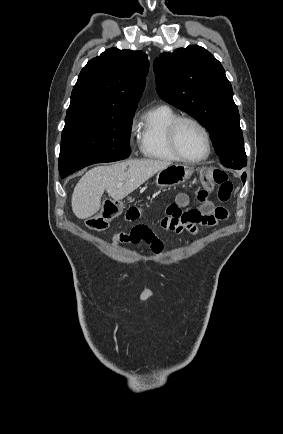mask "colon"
Wrapping results in <instances>:
<instances>
[{
  "label": "colon",
  "mask_w": 283,
  "mask_h": 434,
  "mask_svg": "<svg viewBox=\"0 0 283 434\" xmlns=\"http://www.w3.org/2000/svg\"><path fill=\"white\" fill-rule=\"evenodd\" d=\"M202 182L205 188L217 187V196L221 202H227L232 194L233 185L227 173L219 168H206L202 171ZM123 211V203L117 200H106L102 210L87 220L89 228L96 231L105 230L110 221Z\"/></svg>",
  "instance_id": "colon-1"
}]
</instances>
